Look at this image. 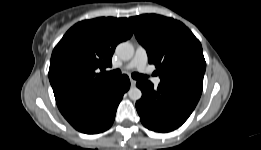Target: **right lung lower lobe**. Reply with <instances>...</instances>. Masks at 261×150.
I'll return each mask as SVG.
<instances>
[{
  "label": "right lung lower lobe",
  "instance_id": "98d812e1",
  "mask_svg": "<svg viewBox=\"0 0 261 150\" xmlns=\"http://www.w3.org/2000/svg\"><path fill=\"white\" fill-rule=\"evenodd\" d=\"M130 80L123 75L105 90L88 97L63 112V116L78 131L95 134L109 129Z\"/></svg>",
  "mask_w": 261,
  "mask_h": 150
}]
</instances>
